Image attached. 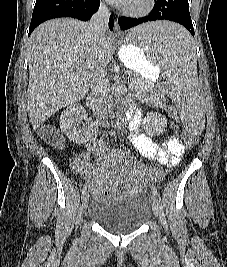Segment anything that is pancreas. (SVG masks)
Returning a JSON list of instances; mask_svg holds the SVG:
<instances>
[{
	"label": "pancreas",
	"instance_id": "cf45deb5",
	"mask_svg": "<svg viewBox=\"0 0 227 267\" xmlns=\"http://www.w3.org/2000/svg\"><path fill=\"white\" fill-rule=\"evenodd\" d=\"M130 88L138 93H145L153 89L152 84L149 81H144L141 78L132 80L130 83Z\"/></svg>",
	"mask_w": 227,
	"mask_h": 267
}]
</instances>
